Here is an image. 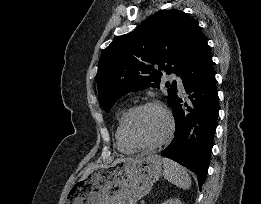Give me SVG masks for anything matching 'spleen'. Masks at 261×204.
Segmentation results:
<instances>
[{
    "label": "spleen",
    "mask_w": 261,
    "mask_h": 204,
    "mask_svg": "<svg viewBox=\"0 0 261 204\" xmlns=\"http://www.w3.org/2000/svg\"><path fill=\"white\" fill-rule=\"evenodd\" d=\"M164 178L179 188L187 190L191 187V178L186 170L167 158H163Z\"/></svg>",
    "instance_id": "spleen-1"
}]
</instances>
